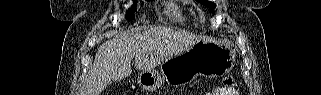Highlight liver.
Wrapping results in <instances>:
<instances>
[{"label": "liver", "instance_id": "obj_1", "mask_svg": "<svg viewBox=\"0 0 321 95\" xmlns=\"http://www.w3.org/2000/svg\"><path fill=\"white\" fill-rule=\"evenodd\" d=\"M200 40L194 34L168 28H150L110 39L98 48L81 95H100L109 83L130 76L133 58L138 70L150 71Z\"/></svg>", "mask_w": 321, "mask_h": 95}]
</instances>
